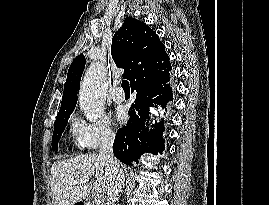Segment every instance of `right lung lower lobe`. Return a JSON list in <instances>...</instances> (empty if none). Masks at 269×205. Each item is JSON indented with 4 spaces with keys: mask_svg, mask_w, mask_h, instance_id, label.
Returning <instances> with one entry per match:
<instances>
[{
    "mask_svg": "<svg viewBox=\"0 0 269 205\" xmlns=\"http://www.w3.org/2000/svg\"><path fill=\"white\" fill-rule=\"evenodd\" d=\"M167 79L162 82L147 83L133 88L136 91L135 104L132 105L128 114L130 116L126 126L120 128L113 144L114 156L121 162L132 165L139 163V157L144 153L162 154L164 150L163 122L156 125L151 132L145 127L149 121V107L161 105L166 108L168 101H172V92Z\"/></svg>",
    "mask_w": 269,
    "mask_h": 205,
    "instance_id": "right-lung-lower-lobe-1",
    "label": "right lung lower lobe"
}]
</instances>
